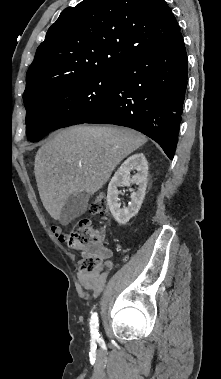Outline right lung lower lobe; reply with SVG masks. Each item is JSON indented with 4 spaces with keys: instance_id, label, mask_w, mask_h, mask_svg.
<instances>
[{
    "instance_id": "98d812e1",
    "label": "right lung lower lobe",
    "mask_w": 221,
    "mask_h": 379,
    "mask_svg": "<svg viewBox=\"0 0 221 379\" xmlns=\"http://www.w3.org/2000/svg\"><path fill=\"white\" fill-rule=\"evenodd\" d=\"M188 61L180 31L122 64L110 100L81 123L133 128L156 141L173 159L187 87Z\"/></svg>"
}]
</instances>
